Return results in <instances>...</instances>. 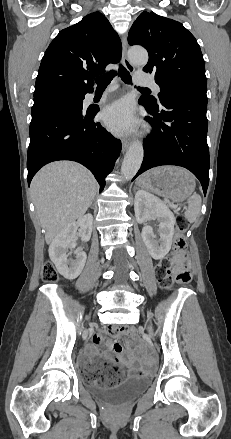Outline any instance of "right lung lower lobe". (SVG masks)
I'll list each match as a JSON object with an SVG mask.
<instances>
[{
  "label": "right lung lower lobe",
  "mask_w": 231,
  "mask_h": 439,
  "mask_svg": "<svg viewBox=\"0 0 231 439\" xmlns=\"http://www.w3.org/2000/svg\"><path fill=\"white\" fill-rule=\"evenodd\" d=\"M98 111L99 108L83 109L82 103L70 111L31 121L27 153L28 184L45 164L72 160L87 167L100 184V191L103 190L105 177L112 171L121 151V142L100 123L93 121Z\"/></svg>",
  "instance_id": "98d812e1"
}]
</instances>
